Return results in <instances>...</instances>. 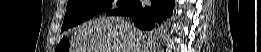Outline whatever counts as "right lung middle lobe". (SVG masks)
<instances>
[{
    "mask_svg": "<svg viewBox=\"0 0 261 52\" xmlns=\"http://www.w3.org/2000/svg\"><path fill=\"white\" fill-rule=\"evenodd\" d=\"M125 0H120L118 4ZM112 0H69L61 31L111 8Z\"/></svg>",
    "mask_w": 261,
    "mask_h": 52,
    "instance_id": "1",
    "label": "right lung middle lobe"
}]
</instances>
